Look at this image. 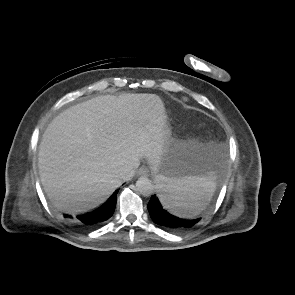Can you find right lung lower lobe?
I'll return each mask as SVG.
<instances>
[{"label": "right lung lower lobe", "mask_w": 295, "mask_h": 295, "mask_svg": "<svg viewBox=\"0 0 295 295\" xmlns=\"http://www.w3.org/2000/svg\"><path fill=\"white\" fill-rule=\"evenodd\" d=\"M117 192L118 191H116L103 205H101L96 210L79 215L77 218L86 227H95L101 225L113 215L117 202Z\"/></svg>", "instance_id": "1"}]
</instances>
